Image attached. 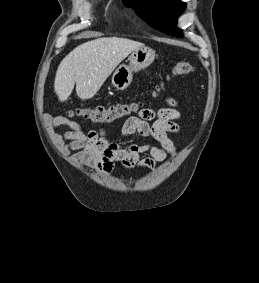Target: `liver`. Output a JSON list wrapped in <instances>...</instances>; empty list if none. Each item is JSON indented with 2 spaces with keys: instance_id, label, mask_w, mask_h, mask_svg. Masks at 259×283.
<instances>
[{
  "instance_id": "liver-1",
  "label": "liver",
  "mask_w": 259,
  "mask_h": 283,
  "mask_svg": "<svg viewBox=\"0 0 259 283\" xmlns=\"http://www.w3.org/2000/svg\"><path fill=\"white\" fill-rule=\"evenodd\" d=\"M143 43L119 37H103L88 41L71 51L58 66L54 90L61 102L72 93L80 99L92 98L114 69Z\"/></svg>"
}]
</instances>
